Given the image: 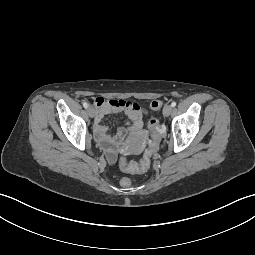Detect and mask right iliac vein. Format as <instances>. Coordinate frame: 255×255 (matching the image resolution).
I'll list each match as a JSON object with an SVG mask.
<instances>
[{
    "label": "right iliac vein",
    "mask_w": 255,
    "mask_h": 255,
    "mask_svg": "<svg viewBox=\"0 0 255 255\" xmlns=\"http://www.w3.org/2000/svg\"><path fill=\"white\" fill-rule=\"evenodd\" d=\"M87 112H88V114H89V116H90L91 118L94 117V115H95V110H94V108H93L92 106H89V107L87 108Z\"/></svg>",
    "instance_id": "63e3f726"
}]
</instances>
